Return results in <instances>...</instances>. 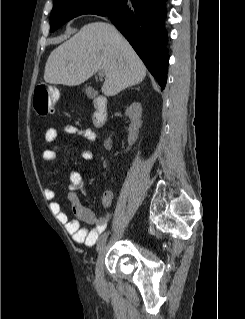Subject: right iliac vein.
<instances>
[{
	"label": "right iliac vein",
	"mask_w": 245,
	"mask_h": 319,
	"mask_svg": "<svg viewBox=\"0 0 245 319\" xmlns=\"http://www.w3.org/2000/svg\"><path fill=\"white\" fill-rule=\"evenodd\" d=\"M108 237V233H104L101 235V237L98 240L97 246H100V253L99 257L96 263L95 268V276H96V282L101 285L103 283V277H104V258L107 252L106 249V240Z\"/></svg>",
	"instance_id": "right-iliac-vein-1"
}]
</instances>
